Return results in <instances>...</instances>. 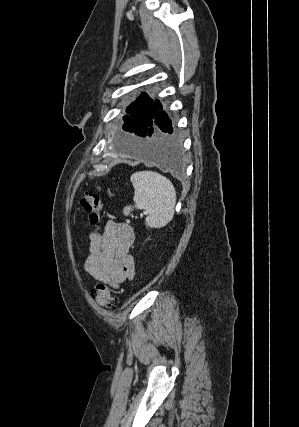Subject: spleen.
I'll return each instance as SVG.
<instances>
[{
	"mask_svg": "<svg viewBox=\"0 0 299 427\" xmlns=\"http://www.w3.org/2000/svg\"><path fill=\"white\" fill-rule=\"evenodd\" d=\"M134 187V207L147 211L146 226L161 228L174 216L176 191L172 182L153 171H140L131 175ZM132 206H126L123 213L128 215Z\"/></svg>",
	"mask_w": 299,
	"mask_h": 427,
	"instance_id": "3e777b00",
	"label": "spleen"
}]
</instances>
